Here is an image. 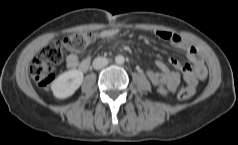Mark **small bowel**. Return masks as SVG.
<instances>
[{"label": "small bowel", "instance_id": "1", "mask_svg": "<svg viewBox=\"0 0 238 145\" xmlns=\"http://www.w3.org/2000/svg\"><path fill=\"white\" fill-rule=\"evenodd\" d=\"M119 32L116 28L105 29L100 32L99 36L102 39L113 38ZM156 35L165 41L170 42L174 47L185 52L188 60L193 64L194 68L191 71L190 65L181 62L175 58H171V64L185 73V80L190 86H195L200 80H203L207 75V70L203 60L200 58L197 49L188 43L181 35L166 31L158 30ZM66 65L70 69H79L86 72L91 65V57L87 55L83 60L79 61L78 55L70 53L66 57ZM158 71L148 70L147 76L149 80L158 87L162 94L175 91L180 84V75L178 72L170 70L165 62L156 61Z\"/></svg>", "mask_w": 238, "mask_h": 145}]
</instances>
